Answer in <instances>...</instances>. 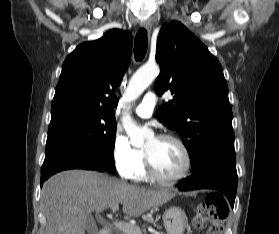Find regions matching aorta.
Here are the masks:
<instances>
[{
    "label": "aorta",
    "instance_id": "obj_1",
    "mask_svg": "<svg viewBox=\"0 0 279 234\" xmlns=\"http://www.w3.org/2000/svg\"><path fill=\"white\" fill-rule=\"evenodd\" d=\"M159 72L156 63H148L142 66L131 77L129 85L125 93V99L128 103L136 100L143 91L154 81ZM123 127L130 137L133 145H142L145 139L152 133L151 130L140 128L132 119L130 114L124 115L122 118Z\"/></svg>",
    "mask_w": 279,
    "mask_h": 234
}]
</instances>
